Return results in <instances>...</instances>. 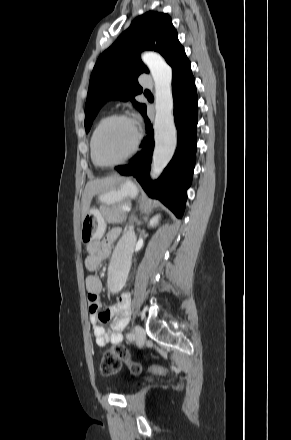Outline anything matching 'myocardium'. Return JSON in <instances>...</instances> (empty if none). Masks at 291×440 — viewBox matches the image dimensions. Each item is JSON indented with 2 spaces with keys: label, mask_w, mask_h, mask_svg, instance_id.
Instances as JSON below:
<instances>
[{
  "label": "myocardium",
  "mask_w": 291,
  "mask_h": 440,
  "mask_svg": "<svg viewBox=\"0 0 291 440\" xmlns=\"http://www.w3.org/2000/svg\"><path fill=\"white\" fill-rule=\"evenodd\" d=\"M112 120H125L128 121L132 127H133V131L135 134V140L133 143V146L131 148V150L128 152V154L121 160L119 161H115V162H103L100 161L98 156H97V152H96V141H97V136L101 130V128L109 121ZM140 140H141V135L133 121V119L131 117H129L126 114L123 113H114L111 115L106 116L105 118H103L99 124L97 125V127L95 128L93 135H92V140H91V156H92V160L93 162L101 167H116V166H120L122 164H125L127 161H129L138 151L139 145H140Z\"/></svg>",
  "instance_id": "obj_1"
}]
</instances>
